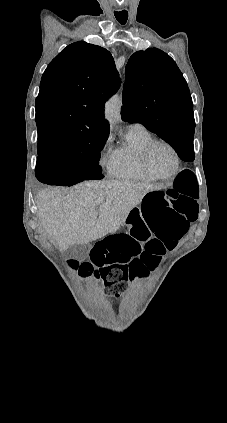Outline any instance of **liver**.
<instances>
[{
    "mask_svg": "<svg viewBox=\"0 0 227 423\" xmlns=\"http://www.w3.org/2000/svg\"><path fill=\"white\" fill-rule=\"evenodd\" d=\"M161 188L149 182H82L69 190L47 188L37 196L40 229L58 241L61 251L95 241L117 231L148 192Z\"/></svg>",
    "mask_w": 227,
    "mask_h": 423,
    "instance_id": "obj_1",
    "label": "liver"
}]
</instances>
